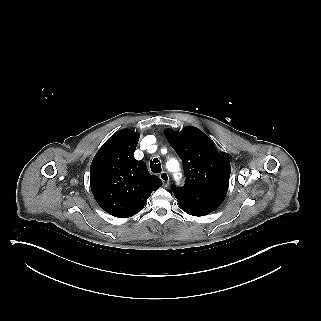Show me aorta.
<instances>
[{
  "instance_id": "762f6f07",
  "label": "aorta",
  "mask_w": 321,
  "mask_h": 321,
  "mask_svg": "<svg viewBox=\"0 0 321 321\" xmlns=\"http://www.w3.org/2000/svg\"><path fill=\"white\" fill-rule=\"evenodd\" d=\"M168 165H169V166L175 165V166H177L176 170H178L179 165H178V162H177L176 160H173V159L170 160V161L168 162Z\"/></svg>"
}]
</instances>
